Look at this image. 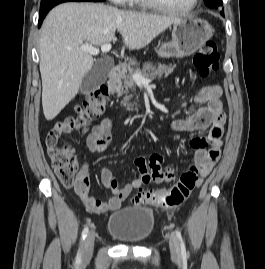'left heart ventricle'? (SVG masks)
<instances>
[{
  "label": "left heart ventricle",
  "mask_w": 265,
  "mask_h": 269,
  "mask_svg": "<svg viewBox=\"0 0 265 269\" xmlns=\"http://www.w3.org/2000/svg\"><path fill=\"white\" fill-rule=\"evenodd\" d=\"M160 1L169 6H173L177 8H185L189 6L190 3L192 2V0H160Z\"/></svg>",
  "instance_id": "left-heart-ventricle-1"
}]
</instances>
